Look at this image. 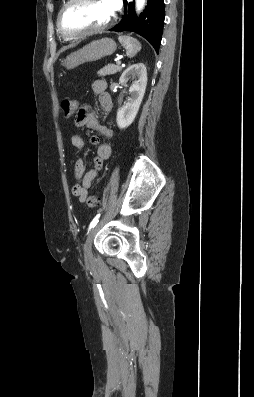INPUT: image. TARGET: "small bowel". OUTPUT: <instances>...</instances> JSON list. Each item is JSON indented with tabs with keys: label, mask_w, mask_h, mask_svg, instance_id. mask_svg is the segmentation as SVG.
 Masks as SVG:
<instances>
[{
	"label": "small bowel",
	"mask_w": 254,
	"mask_h": 397,
	"mask_svg": "<svg viewBox=\"0 0 254 397\" xmlns=\"http://www.w3.org/2000/svg\"><path fill=\"white\" fill-rule=\"evenodd\" d=\"M106 89L107 82L103 79L95 80L92 83V90L98 95L100 106L106 113H109L112 109L113 103L111 96L108 94ZM74 124L77 129L87 127L98 131L106 137L112 136L111 129L98 121L95 112L88 104H84L80 107ZM90 143L97 146V155L92 159V167L89 170H86L84 159L79 158L75 163L74 169V175L78 182L72 187V194L81 202L85 201L88 191L93 186L98 177L99 171L103 167L104 161L111 155L110 145L106 142H102L98 136H92ZM71 144L78 150H83L86 146L82 136L78 133L72 135Z\"/></svg>",
	"instance_id": "obj_1"
}]
</instances>
